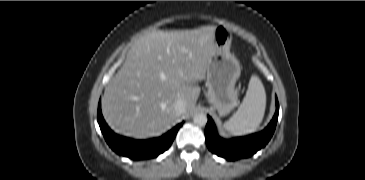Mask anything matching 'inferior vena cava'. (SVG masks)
Segmentation results:
<instances>
[{
  "mask_svg": "<svg viewBox=\"0 0 365 180\" xmlns=\"http://www.w3.org/2000/svg\"><path fill=\"white\" fill-rule=\"evenodd\" d=\"M174 110L177 115H181L186 112V103L182 98L176 100L174 104Z\"/></svg>",
  "mask_w": 365,
  "mask_h": 180,
  "instance_id": "602c4592",
  "label": "inferior vena cava"
}]
</instances>
